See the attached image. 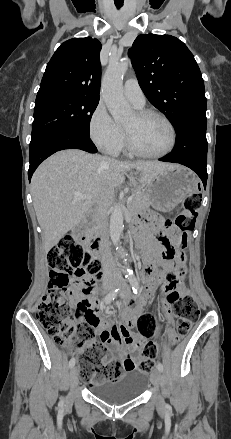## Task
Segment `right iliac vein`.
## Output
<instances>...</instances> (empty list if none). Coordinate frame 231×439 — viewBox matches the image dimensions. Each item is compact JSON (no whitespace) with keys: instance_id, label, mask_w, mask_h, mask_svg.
I'll list each match as a JSON object with an SVG mask.
<instances>
[{"instance_id":"63e3f726","label":"right iliac vein","mask_w":231,"mask_h":439,"mask_svg":"<svg viewBox=\"0 0 231 439\" xmlns=\"http://www.w3.org/2000/svg\"><path fill=\"white\" fill-rule=\"evenodd\" d=\"M113 287V285H112ZM70 384H71V390H70V399L73 398L76 386L78 384V369L76 367H73L70 372Z\"/></svg>"}]
</instances>
